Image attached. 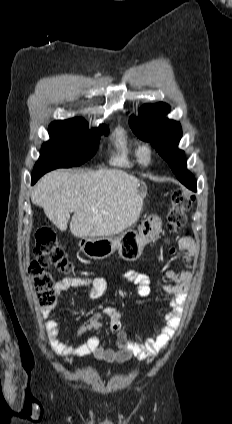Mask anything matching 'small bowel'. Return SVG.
Segmentation results:
<instances>
[{"label": "small bowel", "mask_w": 232, "mask_h": 424, "mask_svg": "<svg viewBox=\"0 0 232 424\" xmlns=\"http://www.w3.org/2000/svg\"><path fill=\"white\" fill-rule=\"evenodd\" d=\"M178 249L183 265L192 266L197 254L194 241L191 238H181L178 242ZM170 253L174 254L175 249H171ZM124 277L136 286L138 296L147 297L151 294V282L146 274L131 269L125 273ZM165 277L169 280V283L162 284L161 289L169 297V310L163 314L164 325L150 338H141L137 341L130 340L122 328L120 312L115 307L106 305L82 321L76 328V335L81 336L88 331L100 329L102 317L107 316L110 320V328L117 336V348L104 347L97 336L89 337L82 344L67 345L57 339L59 322L48 319L50 312L44 310L42 316L45 319V328L51 349L58 355L68 357L93 356L107 363H122L131 357H137L141 360L155 358L169 345L175 331L180 326V316L184 312L193 275L190 270L182 269L179 271L168 270ZM77 287L86 288L90 298L98 299L105 294L108 285L103 277L82 278L73 276L65 277L56 284V290L59 293Z\"/></svg>", "instance_id": "1"}]
</instances>
